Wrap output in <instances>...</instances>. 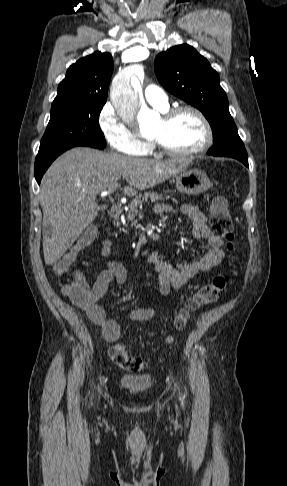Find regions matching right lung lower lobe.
I'll return each instance as SVG.
<instances>
[{
    "label": "right lung lower lobe",
    "mask_w": 287,
    "mask_h": 486,
    "mask_svg": "<svg viewBox=\"0 0 287 486\" xmlns=\"http://www.w3.org/2000/svg\"><path fill=\"white\" fill-rule=\"evenodd\" d=\"M70 148H72V147H70ZM70 148H65V149H62V150H59V151L37 155L36 160H35L34 174H35V178H36L38 184H40L41 178H42L43 174L45 173V171L47 170V168L50 166V164L60 154H62L64 151H66Z\"/></svg>",
    "instance_id": "obj_1"
}]
</instances>
